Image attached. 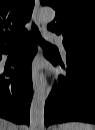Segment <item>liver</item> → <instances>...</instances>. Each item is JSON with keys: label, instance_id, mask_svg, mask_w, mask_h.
Returning a JSON list of instances; mask_svg holds the SVG:
<instances>
[{"label": "liver", "instance_id": "liver-1", "mask_svg": "<svg viewBox=\"0 0 95 130\" xmlns=\"http://www.w3.org/2000/svg\"><path fill=\"white\" fill-rule=\"evenodd\" d=\"M18 127L5 119L0 120V130H18Z\"/></svg>", "mask_w": 95, "mask_h": 130}]
</instances>
